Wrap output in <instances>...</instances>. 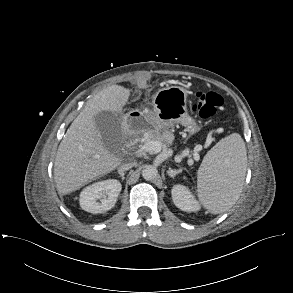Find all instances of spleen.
<instances>
[{"instance_id": "spleen-1", "label": "spleen", "mask_w": 293, "mask_h": 293, "mask_svg": "<svg viewBox=\"0 0 293 293\" xmlns=\"http://www.w3.org/2000/svg\"><path fill=\"white\" fill-rule=\"evenodd\" d=\"M245 143L238 133L221 139L203 159L197 174V194L213 214L227 211L238 200L246 173Z\"/></svg>"}]
</instances>
